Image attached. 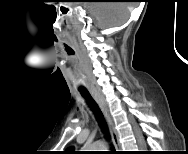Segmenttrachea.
Masks as SVG:
<instances>
[{"instance_id": "obj_1", "label": "trachea", "mask_w": 188, "mask_h": 154, "mask_svg": "<svg viewBox=\"0 0 188 154\" xmlns=\"http://www.w3.org/2000/svg\"><path fill=\"white\" fill-rule=\"evenodd\" d=\"M82 96L86 99L90 109L93 111L95 117H96V120L98 121L100 127L102 128V130L107 134V128H106V125H105V121H104V118L102 116V113L98 107V105L96 104V102L91 98L90 94L88 91H80ZM111 153H114L116 152L113 148H112V151H110Z\"/></svg>"}]
</instances>
